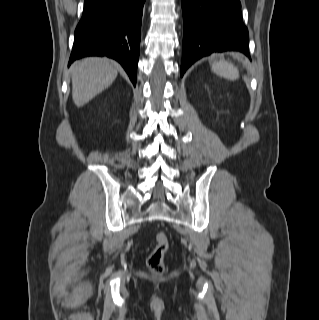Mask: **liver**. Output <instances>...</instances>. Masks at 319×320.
Instances as JSON below:
<instances>
[{"label": "liver", "mask_w": 319, "mask_h": 320, "mask_svg": "<svg viewBox=\"0 0 319 320\" xmlns=\"http://www.w3.org/2000/svg\"><path fill=\"white\" fill-rule=\"evenodd\" d=\"M72 98L77 107L84 106L109 87L117 77L116 65L106 57H87L71 66Z\"/></svg>", "instance_id": "6515ba94"}]
</instances>
